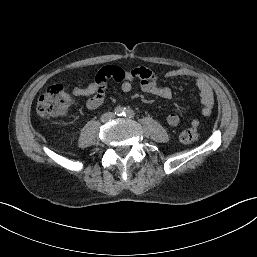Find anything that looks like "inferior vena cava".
Masks as SVG:
<instances>
[{
    "mask_svg": "<svg viewBox=\"0 0 257 257\" xmlns=\"http://www.w3.org/2000/svg\"><path fill=\"white\" fill-rule=\"evenodd\" d=\"M114 117H115V114L113 112H106L101 116V121L107 122L113 119Z\"/></svg>",
    "mask_w": 257,
    "mask_h": 257,
    "instance_id": "inferior-vena-cava-1",
    "label": "inferior vena cava"
}]
</instances>
